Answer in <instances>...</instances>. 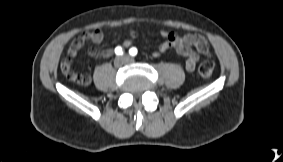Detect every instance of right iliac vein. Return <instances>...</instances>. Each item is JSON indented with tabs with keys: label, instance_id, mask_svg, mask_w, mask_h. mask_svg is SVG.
Segmentation results:
<instances>
[{
	"label": "right iliac vein",
	"instance_id": "63e3f726",
	"mask_svg": "<svg viewBox=\"0 0 283 162\" xmlns=\"http://www.w3.org/2000/svg\"><path fill=\"white\" fill-rule=\"evenodd\" d=\"M123 63H124V60H123L122 58H117V59L115 60V66H116V67L122 66Z\"/></svg>",
	"mask_w": 283,
	"mask_h": 162
}]
</instances>
